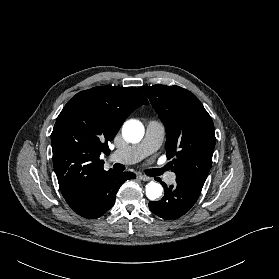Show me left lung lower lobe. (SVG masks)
<instances>
[{"label": "left lung lower lobe", "mask_w": 279, "mask_h": 279, "mask_svg": "<svg viewBox=\"0 0 279 279\" xmlns=\"http://www.w3.org/2000/svg\"><path fill=\"white\" fill-rule=\"evenodd\" d=\"M165 195L161 201L149 202L150 210L163 219H177L187 213L195 204L200 192L194 188L177 183L167 187L162 183Z\"/></svg>", "instance_id": "0a47b994"}]
</instances>
